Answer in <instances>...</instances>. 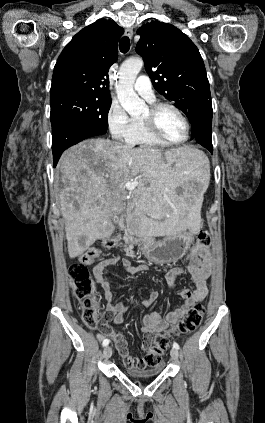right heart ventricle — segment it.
I'll return each instance as SVG.
<instances>
[{"label":"right heart ventricle","instance_id":"right-heart-ventricle-1","mask_svg":"<svg viewBox=\"0 0 265 423\" xmlns=\"http://www.w3.org/2000/svg\"><path fill=\"white\" fill-rule=\"evenodd\" d=\"M126 142L132 146H138L144 149L164 148L168 146L153 137L139 119L132 120L131 130Z\"/></svg>","mask_w":265,"mask_h":423}]
</instances>
